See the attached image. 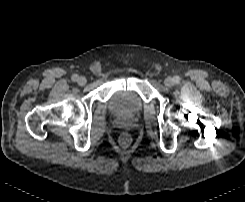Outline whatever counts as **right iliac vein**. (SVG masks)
Here are the masks:
<instances>
[{"label": "right iliac vein", "mask_w": 245, "mask_h": 202, "mask_svg": "<svg viewBox=\"0 0 245 202\" xmlns=\"http://www.w3.org/2000/svg\"><path fill=\"white\" fill-rule=\"evenodd\" d=\"M86 82H87V80H86V78L83 77V76L79 77L78 80H77V83H78V85H80V86L85 85Z\"/></svg>", "instance_id": "obj_1"}]
</instances>
